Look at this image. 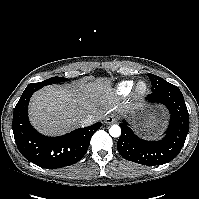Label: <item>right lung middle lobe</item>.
Masks as SVG:
<instances>
[{"label": "right lung middle lobe", "mask_w": 199, "mask_h": 199, "mask_svg": "<svg viewBox=\"0 0 199 199\" xmlns=\"http://www.w3.org/2000/svg\"><path fill=\"white\" fill-rule=\"evenodd\" d=\"M64 81H68V79L63 77H52L39 83H31L27 87L38 90L46 85L56 84Z\"/></svg>", "instance_id": "obj_1"}]
</instances>
